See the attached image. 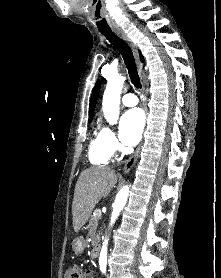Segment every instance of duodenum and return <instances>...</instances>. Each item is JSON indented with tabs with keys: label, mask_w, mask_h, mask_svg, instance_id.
Segmentation results:
<instances>
[{
	"label": "duodenum",
	"mask_w": 221,
	"mask_h": 278,
	"mask_svg": "<svg viewBox=\"0 0 221 278\" xmlns=\"http://www.w3.org/2000/svg\"><path fill=\"white\" fill-rule=\"evenodd\" d=\"M92 256L94 258H97L99 256V253H100V244L98 242H95L92 246Z\"/></svg>",
	"instance_id": "410a0bca"
}]
</instances>
